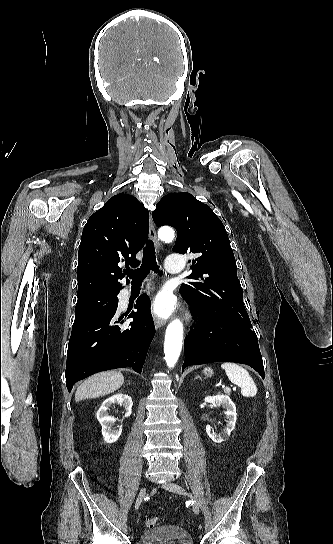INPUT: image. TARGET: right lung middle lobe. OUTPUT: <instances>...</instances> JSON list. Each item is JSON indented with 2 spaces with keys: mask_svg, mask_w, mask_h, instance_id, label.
Returning <instances> with one entry per match:
<instances>
[{
  "mask_svg": "<svg viewBox=\"0 0 333 544\" xmlns=\"http://www.w3.org/2000/svg\"><path fill=\"white\" fill-rule=\"evenodd\" d=\"M117 294L118 292L103 293L78 300L75 307L73 327L82 325L100 314L117 308Z\"/></svg>",
  "mask_w": 333,
  "mask_h": 544,
  "instance_id": "right-lung-middle-lobe-1",
  "label": "right lung middle lobe"
}]
</instances>
